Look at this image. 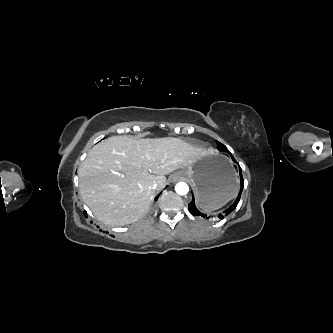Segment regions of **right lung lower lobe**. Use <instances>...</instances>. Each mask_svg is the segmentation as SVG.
<instances>
[{
    "mask_svg": "<svg viewBox=\"0 0 333 333\" xmlns=\"http://www.w3.org/2000/svg\"><path fill=\"white\" fill-rule=\"evenodd\" d=\"M159 195H160V194H159ZM159 195H157V196H156L155 200H157V199H158Z\"/></svg>",
    "mask_w": 333,
    "mask_h": 333,
    "instance_id": "1",
    "label": "right lung lower lobe"
}]
</instances>
